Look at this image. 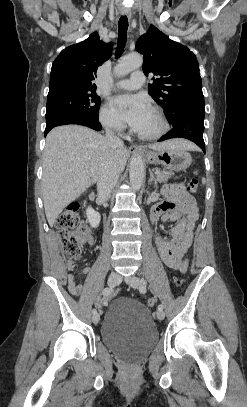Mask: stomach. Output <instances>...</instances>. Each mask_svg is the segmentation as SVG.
<instances>
[{
    "label": "stomach",
    "instance_id": "stomach-1",
    "mask_svg": "<svg viewBox=\"0 0 247 407\" xmlns=\"http://www.w3.org/2000/svg\"><path fill=\"white\" fill-rule=\"evenodd\" d=\"M143 155L148 163L160 164L172 171H184L192 163L190 153L181 149L146 150Z\"/></svg>",
    "mask_w": 247,
    "mask_h": 407
}]
</instances>
